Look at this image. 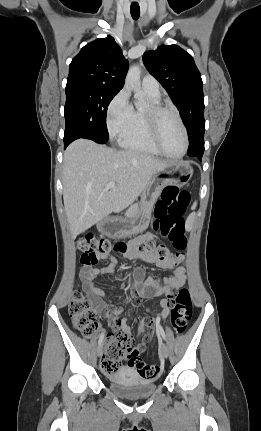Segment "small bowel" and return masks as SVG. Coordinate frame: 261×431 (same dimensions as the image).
Wrapping results in <instances>:
<instances>
[{
    "instance_id": "1",
    "label": "small bowel",
    "mask_w": 261,
    "mask_h": 431,
    "mask_svg": "<svg viewBox=\"0 0 261 431\" xmlns=\"http://www.w3.org/2000/svg\"><path fill=\"white\" fill-rule=\"evenodd\" d=\"M156 241V238L150 234L146 233L142 235L137 242L142 243L145 241ZM142 261L154 263L157 267L162 269H167L171 271V275L164 277L163 279H156L153 277H145L144 272L141 269H135L133 273L132 282L137 288L139 295H135V300H140L142 298H154L163 296L173 290L181 288L186 281L185 270L182 267H176L174 263L170 261H161L153 254L142 253L136 255ZM102 258H111L110 254L102 256ZM115 267L110 264L104 268H91L83 267L80 271V279L82 281V288L89 297L94 310L97 313H103L104 318L110 317V312L107 311L106 294L95 284V278L100 275H105L113 273ZM161 305V317L166 319L170 313L169 305L165 299L160 302ZM122 310L120 308H115L111 312V324L115 329H120L122 332L130 335L131 329L127 324L126 319H119ZM135 313H150V310H135ZM142 329L146 332V336H150L153 330V324L151 321H146L145 318L141 320ZM145 343L141 342L136 345L135 351L137 353L144 350Z\"/></svg>"
}]
</instances>
